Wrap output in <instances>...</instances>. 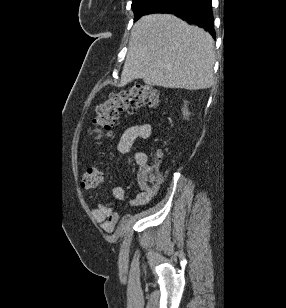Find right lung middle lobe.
<instances>
[{"label": "right lung middle lobe", "mask_w": 286, "mask_h": 308, "mask_svg": "<svg viewBox=\"0 0 286 308\" xmlns=\"http://www.w3.org/2000/svg\"><path fill=\"white\" fill-rule=\"evenodd\" d=\"M169 0H133L132 10L134 11L136 21L145 14L152 13L154 10L165 5Z\"/></svg>", "instance_id": "1"}]
</instances>
